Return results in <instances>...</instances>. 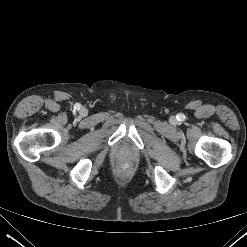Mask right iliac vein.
Wrapping results in <instances>:
<instances>
[{
    "instance_id": "obj_1",
    "label": "right iliac vein",
    "mask_w": 247,
    "mask_h": 247,
    "mask_svg": "<svg viewBox=\"0 0 247 247\" xmlns=\"http://www.w3.org/2000/svg\"><path fill=\"white\" fill-rule=\"evenodd\" d=\"M85 113V110H81V114H84Z\"/></svg>"
}]
</instances>
